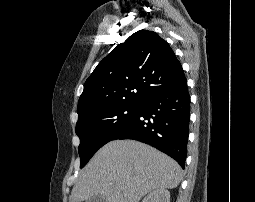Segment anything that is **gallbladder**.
Returning a JSON list of instances; mask_svg holds the SVG:
<instances>
[{"label": "gallbladder", "mask_w": 255, "mask_h": 202, "mask_svg": "<svg viewBox=\"0 0 255 202\" xmlns=\"http://www.w3.org/2000/svg\"><path fill=\"white\" fill-rule=\"evenodd\" d=\"M87 202H106V199L104 196L98 195L90 198Z\"/></svg>", "instance_id": "gallbladder-1"}]
</instances>
